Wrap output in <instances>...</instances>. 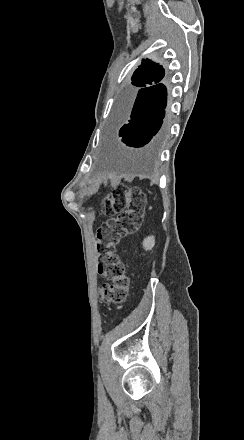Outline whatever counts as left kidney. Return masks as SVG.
Segmentation results:
<instances>
[{
  "instance_id": "left-kidney-1",
  "label": "left kidney",
  "mask_w": 244,
  "mask_h": 440,
  "mask_svg": "<svg viewBox=\"0 0 244 440\" xmlns=\"http://www.w3.org/2000/svg\"><path fill=\"white\" fill-rule=\"evenodd\" d=\"M155 246V238L154 236H148V238H145L143 240V248L144 250H152Z\"/></svg>"
}]
</instances>
